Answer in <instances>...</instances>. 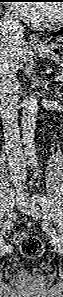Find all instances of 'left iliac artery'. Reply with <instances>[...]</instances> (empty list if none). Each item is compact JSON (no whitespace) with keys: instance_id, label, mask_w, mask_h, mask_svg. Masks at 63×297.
Returning a JSON list of instances; mask_svg holds the SVG:
<instances>
[{"instance_id":"44dca946","label":"left iliac artery","mask_w":63,"mask_h":297,"mask_svg":"<svg viewBox=\"0 0 63 297\" xmlns=\"http://www.w3.org/2000/svg\"><path fill=\"white\" fill-rule=\"evenodd\" d=\"M34 201L40 204L45 216L50 218L52 216L51 204L49 199L44 195H34Z\"/></svg>"}]
</instances>
